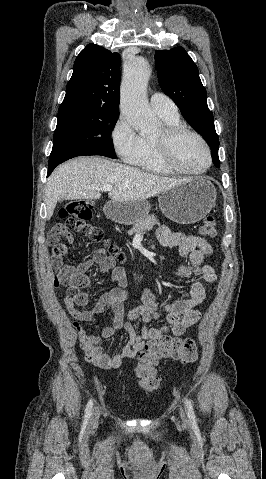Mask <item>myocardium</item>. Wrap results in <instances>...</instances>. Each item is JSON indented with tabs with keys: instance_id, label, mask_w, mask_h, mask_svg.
<instances>
[{
	"instance_id": "obj_1",
	"label": "myocardium",
	"mask_w": 266,
	"mask_h": 479,
	"mask_svg": "<svg viewBox=\"0 0 266 479\" xmlns=\"http://www.w3.org/2000/svg\"><path fill=\"white\" fill-rule=\"evenodd\" d=\"M184 134H190L196 137L200 141V143L203 145L207 155V164L203 169L197 170V171H189L180 167L177 164L173 155V145H174V142L177 140V138H179L180 136ZM155 143H156L161 161L165 164V166H167L174 173H179L183 175H202L206 173L212 165L213 158H212V152H211L209 144L200 133H198L197 131L187 126L166 125L164 129L162 130V133L159 136L155 137Z\"/></svg>"
}]
</instances>
